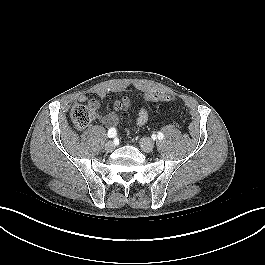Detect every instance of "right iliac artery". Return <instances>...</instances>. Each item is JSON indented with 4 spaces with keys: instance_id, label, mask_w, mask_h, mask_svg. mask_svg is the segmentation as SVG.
Instances as JSON below:
<instances>
[{
    "instance_id": "1",
    "label": "right iliac artery",
    "mask_w": 265,
    "mask_h": 265,
    "mask_svg": "<svg viewBox=\"0 0 265 265\" xmlns=\"http://www.w3.org/2000/svg\"><path fill=\"white\" fill-rule=\"evenodd\" d=\"M116 135H117V132H116V129L115 128H110L108 130V137L109 138H114V137H116Z\"/></svg>"
}]
</instances>
